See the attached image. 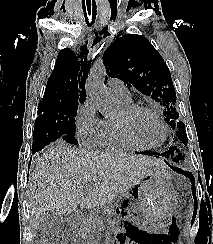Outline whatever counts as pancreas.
Masks as SVG:
<instances>
[{
  "mask_svg": "<svg viewBox=\"0 0 213 244\" xmlns=\"http://www.w3.org/2000/svg\"><path fill=\"white\" fill-rule=\"evenodd\" d=\"M80 237L85 241L84 244H89L96 238L97 227L92 219L85 220L79 229Z\"/></svg>",
  "mask_w": 213,
  "mask_h": 244,
  "instance_id": "pancreas-1",
  "label": "pancreas"
}]
</instances>
